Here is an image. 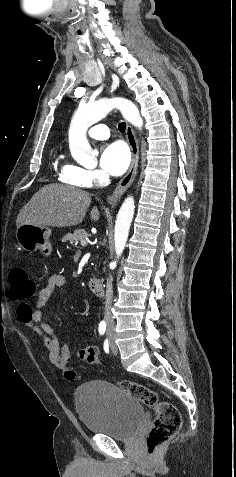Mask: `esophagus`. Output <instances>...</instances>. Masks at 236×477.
I'll use <instances>...</instances> for the list:
<instances>
[{
	"label": "esophagus",
	"mask_w": 236,
	"mask_h": 477,
	"mask_svg": "<svg viewBox=\"0 0 236 477\" xmlns=\"http://www.w3.org/2000/svg\"><path fill=\"white\" fill-rule=\"evenodd\" d=\"M126 138L131 149L132 160L127 174L117 184L113 194L107 198V201L110 204H115L121 198L127 188L131 185L137 174L139 162V146L135 133L129 124H127L126 126Z\"/></svg>",
	"instance_id": "1"
}]
</instances>
